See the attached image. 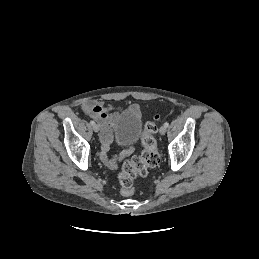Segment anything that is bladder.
Instances as JSON below:
<instances>
[{
    "label": "bladder",
    "mask_w": 259,
    "mask_h": 259,
    "mask_svg": "<svg viewBox=\"0 0 259 259\" xmlns=\"http://www.w3.org/2000/svg\"><path fill=\"white\" fill-rule=\"evenodd\" d=\"M116 141L122 145L133 144L142 134V119L130 113L120 114L115 121Z\"/></svg>",
    "instance_id": "31cf9c89"
}]
</instances>
